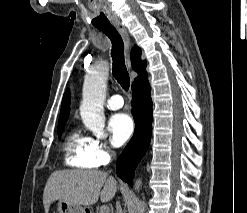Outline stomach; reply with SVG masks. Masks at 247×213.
Returning a JSON list of instances; mask_svg holds the SVG:
<instances>
[{
  "label": "stomach",
  "mask_w": 247,
  "mask_h": 213,
  "mask_svg": "<svg viewBox=\"0 0 247 213\" xmlns=\"http://www.w3.org/2000/svg\"><path fill=\"white\" fill-rule=\"evenodd\" d=\"M59 213H88L87 208L79 204H73L64 200H59L57 203Z\"/></svg>",
  "instance_id": "1"
}]
</instances>
